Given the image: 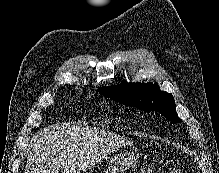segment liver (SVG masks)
I'll use <instances>...</instances> for the list:
<instances>
[{"label":"liver","mask_w":219,"mask_h":173,"mask_svg":"<svg viewBox=\"0 0 219 173\" xmlns=\"http://www.w3.org/2000/svg\"><path fill=\"white\" fill-rule=\"evenodd\" d=\"M127 144L130 141L104 130L56 124L34 138L24 173H84Z\"/></svg>","instance_id":"liver-1"}]
</instances>
